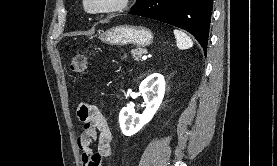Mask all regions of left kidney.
I'll return each mask as SVG.
<instances>
[{"label":"left kidney","mask_w":277,"mask_h":166,"mask_svg":"<svg viewBox=\"0 0 277 166\" xmlns=\"http://www.w3.org/2000/svg\"><path fill=\"white\" fill-rule=\"evenodd\" d=\"M139 91L146 104L141 115L134 113L130 108L124 107L119 114L121 131L126 136H132L151 121L159 109L165 94V80L159 73L149 75L139 86Z\"/></svg>","instance_id":"5707ae66"}]
</instances>
